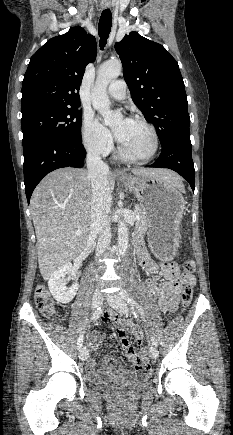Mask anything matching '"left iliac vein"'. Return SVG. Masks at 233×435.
I'll use <instances>...</instances> for the list:
<instances>
[{
    "label": "left iliac vein",
    "instance_id": "left-iliac-vein-1",
    "mask_svg": "<svg viewBox=\"0 0 233 435\" xmlns=\"http://www.w3.org/2000/svg\"><path fill=\"white\" fill-rule=\"evenodd\" d=\"M107 302L121 315L126 314L128 311V307L126 302L122 297L117 294L109 295L106 297ZM149 355L152 359L158 358V350L156 346H151L149 348Z\"/></svg>",
    "mask_w": 233,
    "mask_h": 435
}]
</instances>
